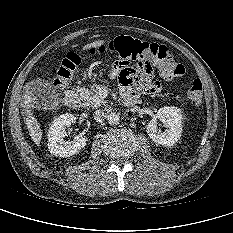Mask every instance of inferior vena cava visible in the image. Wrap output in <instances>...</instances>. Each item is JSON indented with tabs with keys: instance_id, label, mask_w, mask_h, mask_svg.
<instances>
[{
	"instance_id": "602c4592",
	"label": "inferior vena cava",
	"mask_w": 233,
	"mask_h": 233,
	"mask_svg": "<svg viewBox=\"0 0 233 233\" xmlns=\"http://www.w3.org/2000/svg\"><path fill=\"white\" fill-rule=\"evenodd\" d=\"M94 119L96 122L102 123L104 119L106 118L104 110L97 109L93 113Z\"/></svg>"
}]
</instances>
